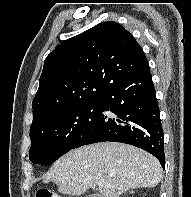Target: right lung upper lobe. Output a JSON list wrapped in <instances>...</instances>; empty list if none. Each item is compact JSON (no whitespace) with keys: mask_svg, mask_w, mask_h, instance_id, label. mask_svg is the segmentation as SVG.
<instances>
[{"mask_svg":"<svg viewBox=\"0 0 191 197\" xmlns=\"http://www.w3.org/2000/svg\"><path fill=\"white\" fill-rule=\"evenodd\" d=\"M147 66L132 34L114 21L62 42L44 61L31 128L63 110L98 101L108 87Z\"/></svg>","mask_w":191,"mask_h":197,"instance_id":"obj_1","label":"right lung upper lobe"}]
</instances>
